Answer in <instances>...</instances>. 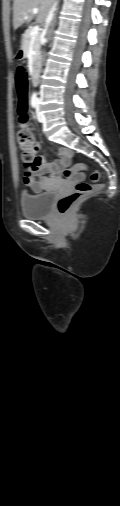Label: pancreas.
<instances>
[{
  "mask_svg": "<svg viewBox=\"0 0 120 506\" xmlns=\"http://www.w3.org/2000/svg\"><path fill=\"white\" fill-rule=\"evenodd\" d=\"M30 32H31V29H28L25 32V34L23 35V46H24V50H25L26 53L29 50L30 43H31V40H32ZM33 51H34V57H36L39 54V51H40V39H39V35H37L35 37V39H34Z\"/></svg>",
  "mask_w": 120,
  "mask_h": 506,
  "instance_id": "cf45deb5",
  "label": "pancreas"
}]
</instances>
